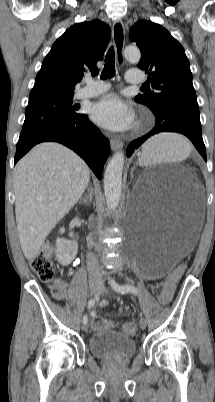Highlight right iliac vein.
I'll use <instances>...</instances> for the list:
<instances>
[{"instance_id": "obj_1", "label": "right iliac vein", "mask_w": 215, "mask_h": 402, "mask_svg": "<svg viewBox=\"0 0 215 402\" xmlns=\"http://www.w3.org/2000/svg\"><path fill=\"white\" fill-rule=\"evenodd\" d=\"M90 288H91V291H92L93 293H95V292L97 291V289H98V285H97V284H91ZM82 330H83V331H87V330H88V324H87V323H83V324H82Z\"/></svg>"}]
</instances>
